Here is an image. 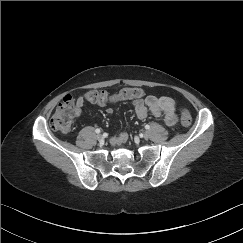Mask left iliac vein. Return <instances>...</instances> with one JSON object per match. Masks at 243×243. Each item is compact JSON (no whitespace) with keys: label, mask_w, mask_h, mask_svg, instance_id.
Here are the masks:
<instances>
[{"label":"left iliac vein","mask_w":243,"mask_h":243,"mask_svg":"<svg viewBox=\"0 0 243 243\" xmlns=\"http://www.w3.org/2000/svg\"><path fill=\"white\" fill-rule=\"evenodd\" d=\"M143 138H144V139H148V138H149V134H148V132H144V133H143Z\"/></svg>","instance_id":"left-iliac-vein-1"}]
</instances>
